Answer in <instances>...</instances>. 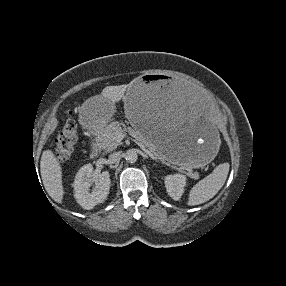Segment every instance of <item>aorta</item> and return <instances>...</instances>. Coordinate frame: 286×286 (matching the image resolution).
I'll list each match as a JSON object with an SVG mask.
<instances>
[{
  "instance_id": "aorta-1",
  "label": "aorta",
  "mask_w": 286,
  "mask_h": 286,
  "mask_svg": "<svg viewBox=\"0 0 286 286\" xmlns=\"http://www.w3.org/2000/svg\"><path fill=\"white\" fill-rule=\"evenodd\" d=\"M125 159L129 163H135L138 160V154L136 150L130 149L125 154Z\"/></svg>"
}]
</instances>
